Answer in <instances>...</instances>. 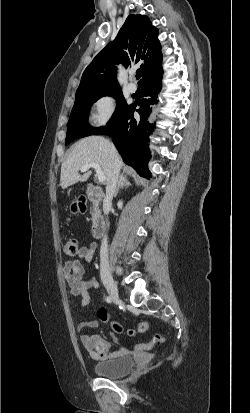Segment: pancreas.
Returning <instances> with one entry per match:
<instances>
[{
	"label": "pancreas",
	"mask_w": 250,
	"mask_h": 413,
	"mask_svg": "<svg viewBox=\"0 0 250 413\" xmlns=\"http://www.w3.org/2000/svg\"><path fill=\"white\" fill-rule=\"evenodd\" d=\"M95 205L93 204V207H92V216H94V214H95Z\"/></svg>",
	"instance_id": "cf45deb5"
}]
</instances>
